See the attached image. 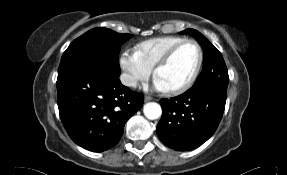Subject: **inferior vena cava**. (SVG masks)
Instances as JSON below:
<instances>
[{"mask_svg": "<svg viewBox=\"0 0 287 175\" xmlns=\"http://www.w3.org/2000/svg\"><path fill=\"white\" fill-rule=\"evenodd\" d=\"M120 80L122 84L125 86L135 87L137 85L136 79L133 76L126 74V73L121 74Z\"/></svg>", "mask_w": 287, "mask_h": 175, "instance_id": "602c4592", "label": "inferior vena cava"}]
</instances>
